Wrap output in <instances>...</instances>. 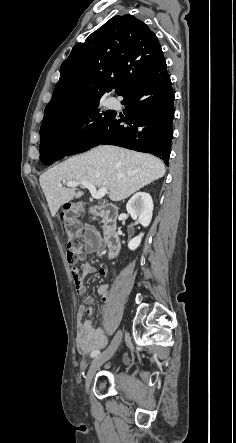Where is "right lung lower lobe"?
Instances as JSON below:
<instances>
[{
  "instance_id": "obj_1",
  "label": "right lung lower lobe",
  "mask_w": 236,
  "mask_h": 443,
  "mask_svg": "<svg viewBox=\"0 0 236 443\" xmlns=\"http://www.w3.org/2000/svg\"><path fill=\"white\" fill-rule=\"evenodd\" d=\"M162 57L148 72L135 79L121 94L124 115L113 113L69 145L44 146L40 160L50 165L64 156L84 152L99 144H112L147 152L166 165L173 137L174 92Z\"/></svg>"
}]
</instances>
